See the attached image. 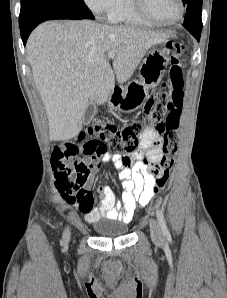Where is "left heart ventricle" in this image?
Segmentation results:
<instances>
[{
  "label": "left heart ventricle",
  "mask_w": 227,
  "mask_h": 298,
  "mask_svg": "<svg viewBox=\"0 0 227 298\" xmlns=\"http://www.w3.org/2000/svg\"><path fill=\"white\" fill-rule=\"evenodd\" d=\"M149 13L160 21H170L178 15L177 0H146Z\"/></svg>",
  "instance_id": "obj_1"
}]
</instances>
